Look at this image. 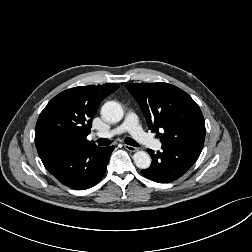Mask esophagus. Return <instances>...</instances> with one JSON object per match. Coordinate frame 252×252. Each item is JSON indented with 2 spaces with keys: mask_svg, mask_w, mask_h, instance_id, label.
I'll return each mask as SVG.
<instances>
[{
  "mask_svg": "<svg viewBox=\"0 0 252 252\" xmlns=\"http://www.w3.org/2000/svg\"><path fill=\"white\" fill-rule=\"evenodd\" d=\"M124 148H125L126 150L130 151V152H136V151H138V148H136V147H134V146H130V145H128V144H125V145H124Z\"/></svg>",
  "mask_w": 252,
  "mask_h": 252,
  "instance_id": "1",
  "label": "esophagus"
}]
</instances>
